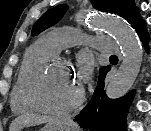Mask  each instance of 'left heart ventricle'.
<instances>
[{"instance_id": "left-heart-ventricle-1", "label": "left heart ventricle", "mask_w": 151, "mask_h": 131, "mask_svg": "<svg viewBox=\"0 0 151 131\" xmlns=\"http://www.w3.org/2000/svg\"><path fill=\"white\" fill-rule=\"evenodd\" d=\"M81 88L73 70L64 65L52 67L39 81L38 91L42 100L51 106H61L76 97Z\"/></svg>"}]
</instances>
